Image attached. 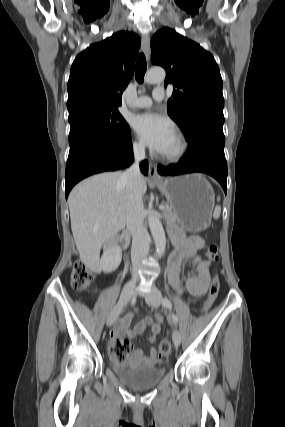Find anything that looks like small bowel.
Returning <instances> with one entry per match:
<instances>
[{"mask_svg":"<svg viewBox=\"0 0 285 427\" xmlns=\"http://www.w3.org/2000/svg\"><path fill=\"white\" fill-rule=\"evenodd\" d=\"M172 237L175 243V250L169 257L168 261V276L172 285L181 291L179 286V275L181 263L184 260H191L195 269V273L191 271L186 279V288L192 296H201L205 293L210 281V261L203 259L198 255L199 251L204 246V241L199 236L184 237L178 230H172ZM137 310L125 314L114 326L111 331L110 348L127 342L126 339H134L141 335L147 327L151 330L150 341L154 342L161 332L162 318L158 316L159 323H154L149 316L142 319L131 328L130 324ZM156 350L150 347L148 355H145L142 350L136 349L128 355L124 363L121 365H153L155 362Z\"/></svg>","mask_w":285,"mask_h":427,"instance_id":"c3829d8e","label":"small bowel"}]
</instances>
